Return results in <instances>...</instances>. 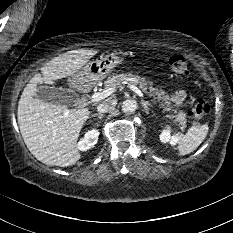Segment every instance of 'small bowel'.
I'll use <instances>...</instances> for the list:
<instances>
[{"label":"small bowel","mask_w":233,"mask_h":233,"mask_svg":"<svg viewBox=\"0 0 233 233\" xmlns=\"http://www.w3.org/2000/svg\"><path fill=\"white\" fill-rule=\"evenodd\" d=\"M187 98V93L185 90H176L173 94V101L176 105L181 106Z\"/></svg>","instance_id":"1"}]
</instances>
